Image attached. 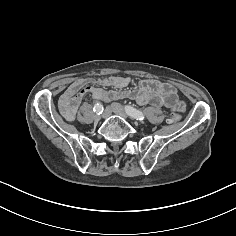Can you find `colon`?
Masks as SVG:
<instances>
[{"mask_svg": "<svg viewBox=\"0 0 236 236\" xmlns=\"http://www.w3.org/2000/svg\"><path fill=\"white\" fill-rule=\"evenodd\" d=\"M180 116L178 114H174L171 117V122H177L179 120Z\"/></svg>", "mask_w": 236, "mask_h": 236, "instance_id": "obj_1", "label": "colon"}]
</instances>
